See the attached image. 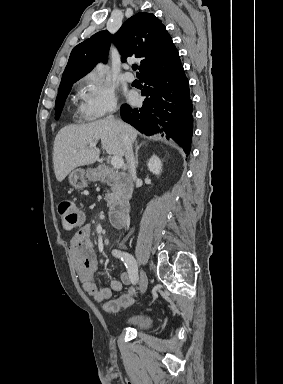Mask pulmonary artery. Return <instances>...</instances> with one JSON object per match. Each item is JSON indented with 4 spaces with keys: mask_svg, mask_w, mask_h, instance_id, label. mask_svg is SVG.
Instances as JSON below:
<instances>
[{
    "mask_svg": "<svg viewBox=\"0 0 283 384\" xmlns=\"http://www.w3.org/2000/svg\"><path fill=\"white\" fill-rule=\"evenodd\" d=\"M130 67V65H126L125 67V72H124V79L127 81V82H133L135 80V76L132 72L128 71L127 69Z\"/></svg>",
    "mask_w": 283,
    "mask_h": 384,
    "instance_id": "e3ab8cb5",
    "label": "pulmonary artery"
}]
</instances>
